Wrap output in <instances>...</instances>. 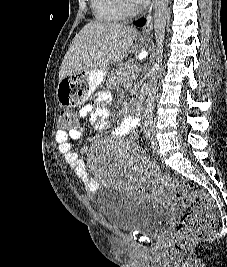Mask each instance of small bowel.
<instances>
[{"instance_id":"small-bowel-1","label":"small bowel","mask_w":227,"mask_h":267,"mask_svg":"<svg viewBox=\"0 0 227 267\" xmlns=\"http://www.w3.org/2000/svg\"><path fill=\"white\" fill-rule=\"evenodd\" d=\"M105 101L104 94L100 93L97 96V103L103 104ZM105 109L94 108L87 105L78 109L76 113V123L71 126L70 130H57L56 142L59 145V152L64 157L66 163L72 168L74 175L82 182L88 195H94L98 188V181L92 177L85 166V163L79 158L77 152L73 150L71 140H78L84 134V122L92 119L98 128H105L104 118ZM140 124V119L137 116H128L123 119L120 126L116 129V134L126 136L136 131ZM146 193L147 189H143Z\"/></svg>"}]
</instances>
